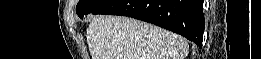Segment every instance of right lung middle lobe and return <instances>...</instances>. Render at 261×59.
I'll use <instances>...</instances> for the list:
<instances>
[{
	"mask_svg": "<svg viewBox=\"0 0 261 59\" xmlns=\"http://www.w3.org/2000/svg\"><path fill=\"white\" fill-rule=\"evenodd\" d=\"M110 0H80L76 6V13L82 19L88 13H94Z\"/></svg>",
	"mask_w": 261,
	"mask_h": 59,
	"instance_id": "1",
	"label": "right lung middle lobe"
}]
</instances>
